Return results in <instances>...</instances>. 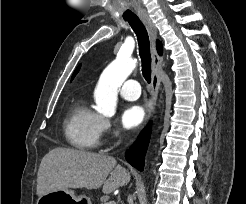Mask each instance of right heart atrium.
Masks as SVG:
<instances>
[{"mask_svg":"<svg viewBox=\"0 0 246 204\" xmlns=\"http://www.w3.org/2000/svg\"><path fill=\"white\" fill-rule=\"evenodd\" d=\"M103 131H105V132H113V128H112V125H111L110 121H108V120H104L103 121Z\"/></svg>","mask_w":246,"mask_h":204,"instance_id":"obj_1","label":"right heart atrium"}]
</instances>
